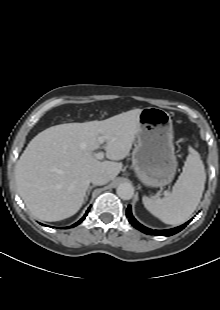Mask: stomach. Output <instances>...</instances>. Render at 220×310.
Returning a JSON list of instances; mask_svg holds the SVG:
<instances>
[{
	"mask_svg": "<svg viewBox=\"0 0 220 310\" xmlns=\"http://www.w3.org/2000/svg\"><path fill=\"white\" fill-rule=\"evenodd\" d=\"M136 137L132 165L138 179L149 187L169 184L178 166L170 115L156 107L142 109Z\"/></svg>",
	"mask_w": 220,
	"mask_h": 310,
	"instance_id": "1",
	"label": "stomach"
}]
</instances>
